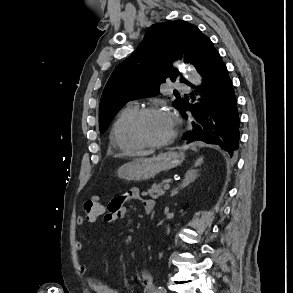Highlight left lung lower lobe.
<instances>
[{
  "label": "left lung lower lobe",
  "instance_id": "1",
  "mask_svg": "<svg viewBox=\"0 0 293 293\" xmlns=\"http://www.w3.org/2000/svg\"><path fill=\"white\" fill-rule=\"evenodd\" d=\"M202 85L182 98L177 108L185 117L191 113L193 129L188 143L202 140L217 144L231 155L239 145V117L236 96L227 67L211 40L207 42L199 68Z\"/></svg>",
  "mask_w": 293,
  "mask_h": 293
}]
</instances>
